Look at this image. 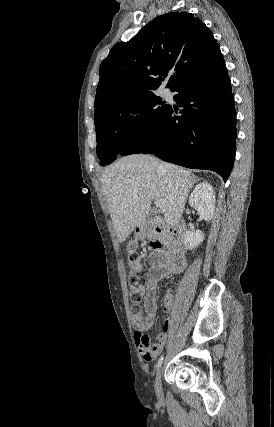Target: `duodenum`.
Returning a JSON list of instances; mask_svg holds the SVG:
<instances>
[{
	"label": "duodenum",
	"mask_w": 274,
	"mask_h": 427,
	"mask_svg": "<svg viewBox=\"0 0 274 427\" xmlns=\"http://www.w3.org/2000/svg\"><path fill=\"white\" fill-rule=\"evenodd\" d=\"M148 226L154 228V245L159 248L168 244L175 230V227H166L155 222H149Z\"/></svg>",
	"instance_id": "obj_1"
}]
</instances>
